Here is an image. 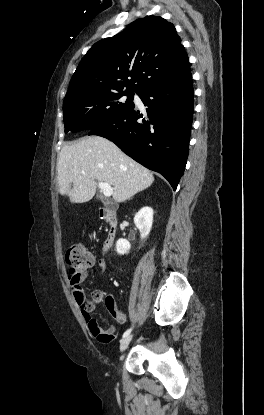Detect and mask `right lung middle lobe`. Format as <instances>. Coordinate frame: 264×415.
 Segmentation results:
<instances>
[{
	"mask_svg": "<svg viewBox=\"0 0 264 415\" xmlns=\"http://www.w3.org/2000/svg\"><path fill=\"white\" fill-rule=\"evenodd\" d=\"M126 95L124 101L122 96ZM133 93L108 92L86 94L65 99L63 102V118L65 133L94 129L134 107Z\"/></svg>",
	"mask_w": 264,
	"mask_h": 415,
	"instance_id": "dd1d6c3e",
	"label": "right lung middle lobe"
}]
</instances>
